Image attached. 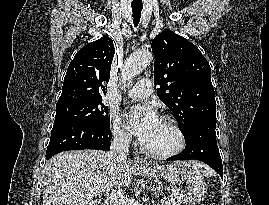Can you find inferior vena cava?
I'll use <instances>...</instances> for the list:
<instances>
[{"mask_svg": "<svg viewBox=\"0 0 269 205\" xmlns=\"http://www.w3.org/2000/svg\"><path fill=\"white\" fill-rule=\"evenodd\" d=\"M131 137L121 130H115L113 133V145L108 152V158L112 160V163L116 167H120L126 162L129 152V141ZM123 198L122 187L117 185L110 194L107 195L104 205H121Z\"/></svg>", "mask_w": 269, "mask_h": 205, "instance_id": "1", "label": "inferior vena cava"}]
</instances>
